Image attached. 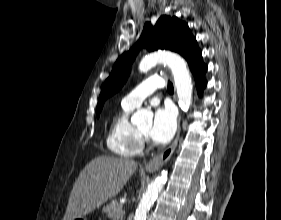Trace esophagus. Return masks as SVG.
Returning a JSON list of instances; mask_svg holds the SVG:
<instances>
[{"mask_svg":"<svg viewBox=\"0 0 281 220\" xmlns=\"http://www.w3.org/2000/svg\"><path fill=\"white\" fill-rule=\"evenodd\" d=\"M180 121H181V114L179 115L178 130H177V134H176V137H175L173 143L167 149H165L162 153H160L159 155L152 158L145 165L146 171L154 172V171L160 169L170 159V157L172 156V154L177 146V143H178V140L180 137V133H181Z\"/></svg>","mask_w":281,"mask_h":220,"instance_id":"34e87169","label":"esophagus"}]
</instances>
